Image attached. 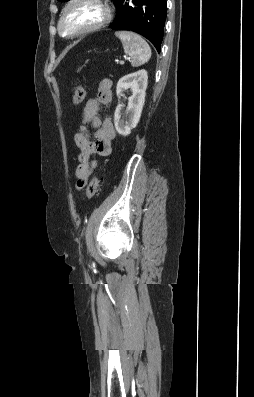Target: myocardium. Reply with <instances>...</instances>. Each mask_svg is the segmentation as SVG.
Masks as SVG:
<instances>
[{
	"label": "myocardium",
	"mask_w": 254,
	"mask_h": 397,
	"mask_svg": "<svg viewBox=\"0 0 254 397\" xmlns=\"http://www.w3.org/2000/svg\"><path fill=\"white\" fill-rule=\"evenodd\" d=\"M81 2H93L98 4L102 9H103V16L102 18L92 24L89 25L87 27H84L76 32L70 33V34H65L62 30V23L64 18L66 17L67 13L69 12V10L76 4L81 3ZM113 16L112 13V9L111 6L108 4V2L106 0H70L65 7L63 8L62 12L59 15L58 21H57V30L58 33L64 37V38H68V39H73L76 37H80L82 35L97 31L103 27H105L106 25H108V23L111 21Z\"/></svg>",
	"instance_id": "obj_1"
}]
</instances>
